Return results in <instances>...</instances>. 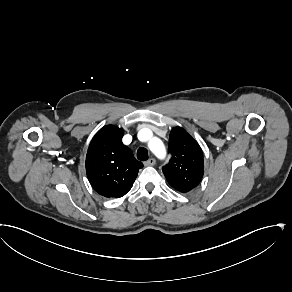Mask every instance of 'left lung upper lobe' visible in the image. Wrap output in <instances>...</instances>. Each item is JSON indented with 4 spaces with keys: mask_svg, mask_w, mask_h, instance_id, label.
Returning a JSON list of instances; mask_svg holds the SVG:
<instances>
[{
    "mask_svg": "<svg viewBox=\"0 0 292 292\" xmlns=\"http://www.w3.org/2000/svg\"><path fill=\"white\" fill-rule=\"evenodd\" d=\"M171 159L162 170L168 183L186 193L195 188L204 174L203 153L199 144L183 128L175 127L169 136Z\"/></svg>",
    "mask_w": 292,
    "mask_h": 292,
    "instance_id": "5c2ea615",
    "label": "left lung upper lobe"
}]
</instances>
